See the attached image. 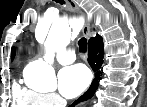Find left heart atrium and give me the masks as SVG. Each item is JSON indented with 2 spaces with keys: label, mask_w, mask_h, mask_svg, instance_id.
<instances>
[{
  "label": "left heart atrium",
  "mask_w": 147,
  "mask_h": 107,
  "mask_svg": "<svg viewBox=\"0 0 147 107\" xmlns=\"http://www.w3.org/2000/svg\"><path fill=\"white\" fill-rule=\"evenodd\" d=\"M90 81V73L83 65L63 68L58 75V88L62 96L73 98L85 90Z\"/></svg>",
  "instance_id": "obj_1"
}]
</instances>
